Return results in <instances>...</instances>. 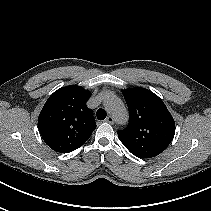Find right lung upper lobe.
Here are the masks:
<instances>
[{"label": "right lung upper lobe", "mask_w": 211, "mask_h": 211, "mask_svg": "<svg viewBox=\"0 0 211 211\" xmlns=\"http://www.w3.org/2000/svg\"><path fill=\"white\" fill-rule=\"evenodd\" d=\"M90 92L81 86L55 91L43 106L38 128L54 151L69 153L82 146L96 128L92 111L86 106Z\"/></svg>", "instance_id": "right-lung-upper-lobe-1"}]
</instances>
